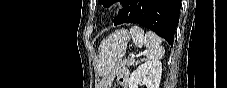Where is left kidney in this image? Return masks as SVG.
<instances>
[{
    "mask_svg": "<svg viewBox=\"0 0 227 88\" xmlns=\"http://www.w3.org/2000/svg\"><path fill=\"white\" fill-rule=\"evenodd\" d=\"M161 74L160 61H147L131 74L128 81L129 88H138V85H144L146 88H159Z\"/></svg>",
    "mask_w": 227,
    "mask_h": 88,
    "instance_id": "1",
    "label": "left kidney"
}]
</instances>
